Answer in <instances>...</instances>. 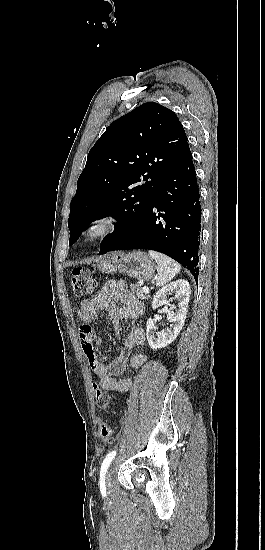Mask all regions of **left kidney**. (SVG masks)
I'll list each match as a JSON object with an SVG mask.
<instances>
[{"label": "left kidney", "mask_w": 265, "mask_h": 550, "mask_svg": "<svg viewBox=\"0 0 265 550\" xmlns=\"http://www.w3.org/2000/svg\"><path fill=\"white\" fill-rule=\"evenodd\" d=\"M174 293V297L167 299V296ZM190 285L188 281L179 279L168 285L162 287L154 296L152 301V308L156 309L163 305H169L172 299L177 300L178 304L173 306L175 312L171 311L167 315V320L170 322V326L162 331H158L155 325V320L149 318L146 324V337L149 346L153 350L164 348L171 344L179 335L183 328L187 307L190 298Z\"/></svg>", "instance_id": "1"}]
</instances>
